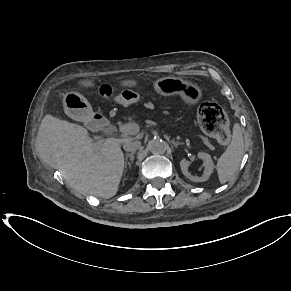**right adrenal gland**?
<instances>
[{
    "mask_svg": "<svg viewBox=\"0 0 291 291\" xmlns=\"http://www.w3.org/2000/svg\"><path fill=\"white\" fill-rule=\"evenodd\" d=\"M134 155H135V152L126 153V155H125V166H127V164H128V162H127L128 158H130L131 163H133L134 158H135Z\"/></svg>",
    "mask_w": 291,
    "mask_h": 291,
    "instance_id": "1",
    "label": "right adrenal gland"
}]
</instances>
